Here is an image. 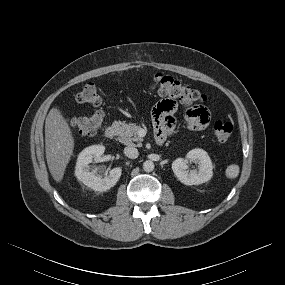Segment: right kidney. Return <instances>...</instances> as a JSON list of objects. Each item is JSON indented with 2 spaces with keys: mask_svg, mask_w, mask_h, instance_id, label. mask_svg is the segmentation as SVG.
Masks as SVG:
<instances>
[{
  "mask_svg": "<svg viewBox=\"0 0 285 285\" xmlns=\"http://www.w3.org/2000/svg\"><path fill=\"white\" fill-rule=\"evenodd\" d=\"M104 151L105 147L103 145H92L86 147L79 154L75 167V176L77 179L84 185L99 192L107 191L111 187H114L122 173V169L120 167H116L110 170L109 173H106L105 177L102 178L101 175L90 171L89 164L93 159H99L103 155Z\"/></svg>",
  "mask_w": 285,
  "mask_h": 285,
  "instance_id": "right-kidney-1",
  "label": "right kidney"
}]
</instances>
